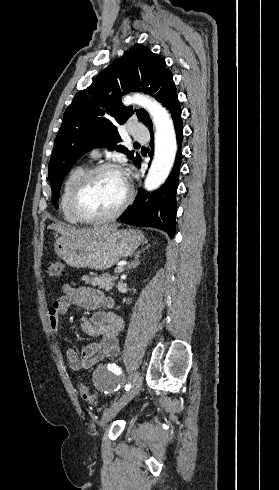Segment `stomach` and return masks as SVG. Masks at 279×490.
Here are the masks:
<instances>
[{"label":"stomach","mask_w":279,"mask_h":490,"mask_svg":"<svg viewBox=\"0 0 279 490\" xmlns=\"http://www.w3.org/2000/svg\"><path fill=\"white\" fill-rule=\"evenodd\" d=\"M145 238L139 230H112L94 234L88 240H70L60 236L54 244L55 254L71 268L108 270L121 258L131 256Z\"/></svg>","instance_id":"1"}]
</instances>
